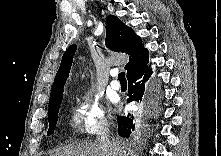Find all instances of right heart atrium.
<instances>
[{"label":"right heart atrium","mask_w":221,"mask_h":156,"mask_svg":"<svg viewBox=\"0 0 221 156\" xmlns=\"http://www.w3.org/2000/svg\"><path fill=\"white\" fill-rule=\"evenodd\" d=\"M71 122L79 135L93 136L106 131L108 120L101 101L91 93H86L71 110Z\"/></svg>","instance_id":"d8ad5b80"}]
</instances>
